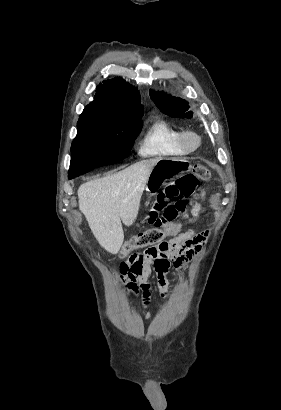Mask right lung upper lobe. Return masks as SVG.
<instances>
[{
    "label": "right lung upper lobe",
    "mask_w": 281,
    "mask_h": 410,
    "mask_svg": "<svg viewBox=\"0 0 281 410\" xmlns=\"http://www.w3.org/2000/svg\"><path fill=\"white\" fill-rule=\"evenodd\" d=\"M83 112L106 119H133L143 115V106L137 89L116 77L98 85L94 100Z\"/></svg>",
    "instance_id": "right-lung-upper-lobe-1"
}]
</instances>
